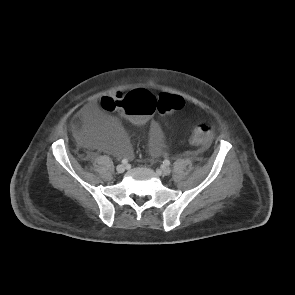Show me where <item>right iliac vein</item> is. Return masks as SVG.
<instances>
[{"label": "right iliac vein", "mask_w": 295, "mask_h": 295, "mask_svg": "<svg viewBox=\"0 0 295 295\" xmlns=\"http://www.w3.org/2000/svg\"><path fill=\"white\" fill-rule=\"evenodd\" d=\"M125 165H123V164H120V165H118L117 167H116V171L118 172V173H123L124 171H125Z\"/></svg>", "instance_id": "right-iliac-vein-1"}]
</instances>
